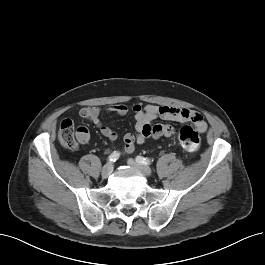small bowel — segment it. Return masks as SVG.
Here are the masks:
<instances>
[{"label":"small bowel","instance_id":"1","mask_svg":"<svg viewBox=\"0 0 265 265\" xmlns=\"http://www.w3.org/2000/svg\"><path fill=\"white\" fill-rule=\"evenodd\" d=\"M107 112L126 115L128 107L122 104L109 105L105 108ZM135 113L134 133H127L124 138L123 153L130 154L134 152L136 144H142L146 139L153 137L173 136V128L168 124L152 125V120L161 118L166 121L192 122L200 132L207 130V123L204 117L197 111L188 108H179L173 106H157L153 104L142 107L134 105L132 108ZM101 108L96 106L84 107L79 111L82 118L90 120L100 131V133L111 141L117 139V133L109 126L102 123L100 119ZM77 138L79 143L85 144L89 141L90 133L87 127L79 126L77 128Z\"/></svg>","mask_w":265,"mask_h":265}]
</instances>
